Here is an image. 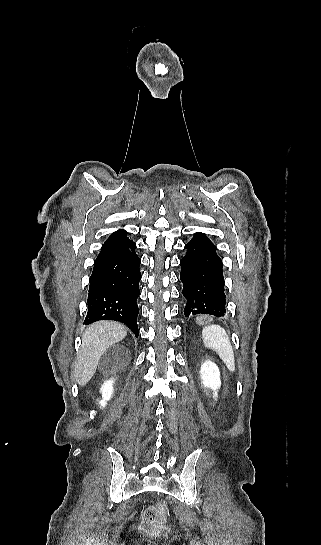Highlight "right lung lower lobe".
Returning <instances> with one entry per match:
<instances>
[{"label": "right lung lower lobe", "mask_w": 321, "mask_h": 545, "mask_svg": "<svg viewBox=\"0 0 321 545\" xmlns=\"http://www.w3.org/2000/svg\"><path fill=\"white\" fill-rule=\"evenodd\" d=\"M120 229L102 246L90 277L88 312L84 323L111 319L126 324L138 337L137 298L141 279L136 244Z\"/></svg>", "instance_id": "98d812e1"}]
</instances>
